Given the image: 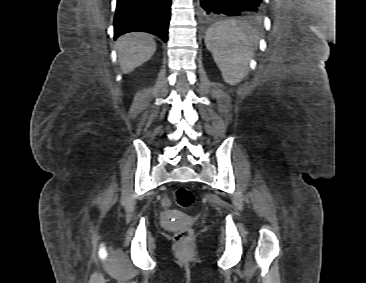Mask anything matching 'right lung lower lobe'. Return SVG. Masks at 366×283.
Returning a JSON list of instances; mask_svg holds the SVG:
<instances>
[{"label":"right lung lower lobe","mask_w":366,"mask_h":283,"mask_svg":"<svg viewBox=\"0 0 366 283\" xmlns=\"http://www.w3.org/2000/svg\"><path fill=\"white\" fill-rule=\"evenodd\" d=\"M171 0H117L114 39L120 35L144 31L167 41Z\"/></svg>","instance_id":"right-lung-lower-lobe-1"}]
</instances>
